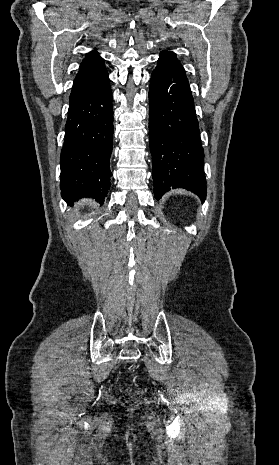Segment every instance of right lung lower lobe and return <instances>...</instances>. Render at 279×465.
I'll return each mask as SVG.
<instances>
[{"label":"right lung lower lobe","mask_w":279,"mask_h":465,"mask_svg":"<svg viewBox=\"0 0 279 465\" xmlns=\"http://www.w3.org/2000/svg\"><path fill=\"white\" fill-rule=\"evenodd\" d=\"M61 151V194L70 203L83 197L103 204L112 152V91L106 75L69 103Z\"/></svg>","instance_id":"right-lung-lower-lobe-1"}]
</instances>
